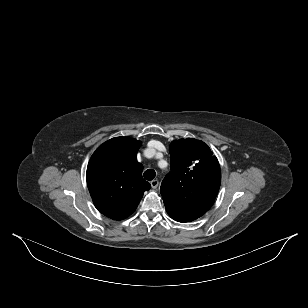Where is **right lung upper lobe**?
<instances>
[{
	"instance_id": "1",
	"label": "right lung upper lobe",
	"mask_w": 308,
	"mask_h": 308,
	"mask_svg": "<svg viewBox=\"0 0 308 308\" xmlns=\"http://www.w3.org/2000/svg\"><path fill=\"white\" fill-rule=\"evenodd\" d=\"M141 142L115 137L93 153L87 167V185L93 203L105 216L122 220L137 208L151 185L142 177L143 166L136 160Z\"/></svg>"
}]
</instances>
